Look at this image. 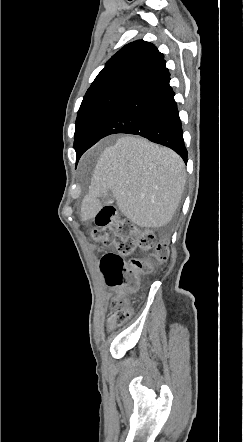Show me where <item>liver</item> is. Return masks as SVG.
<instances>
[{
    "label": "liver",
    "instance_id": "1",
    "mask_svg": "<svg viewBox=\"0 0 243 442\" xmlns=\"http://www.w3.org/2000/svg\"><path fill=\"white\" fill-rule=\"evenodd\" d=\"M185 184V164L177 153L141 137L122 136L97 161L89 194L81 204V220L94 218L102 208L99 197L111 191L119 210L137 226H165L179 206Z\"/></svg>",
    "mask_w": 243,
    "mask_h": 442
}]
</instances>
